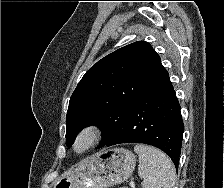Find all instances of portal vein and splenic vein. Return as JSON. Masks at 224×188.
<instances>
[{"label":"portal vein and splenic vein","mask_w":224,"mask_h":188,"mask_svg":"<svg viewBox=\"0 0 224 188\" xmlns=\"http://www.w3.org/2000/svg\"><path fill=\"white\" fill-rule=\"evenodd\" d=\"M130 186L132 187V188H135V185H134V182H130Z\"/></svg>","instance_id":"portal-vein-and-splenic-vein-1"}]
</instances>
